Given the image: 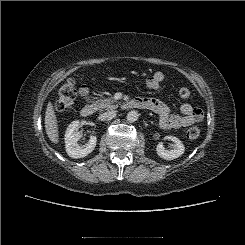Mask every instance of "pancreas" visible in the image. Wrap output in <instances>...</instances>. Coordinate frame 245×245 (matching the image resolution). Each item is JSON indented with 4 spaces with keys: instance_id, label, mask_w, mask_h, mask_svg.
Here are the masks:
<instances>
[{
    "instance_id": "1",
    "label": "pancreas",
    "mask_w": 245,
    "mask_h": 245,
    "mask_svg": "<svg viewBox=\"0 0 245 245\" xmlns=\"http://www.w3.org/2000/svg\"><path fill=\"white\" fill-rule=\"evenodd\" d=\"M96 108L98 110H113L118 108V104H116V100L112 97L106 99H100L95 101Z\"/></svg>"
}]
</instances>
